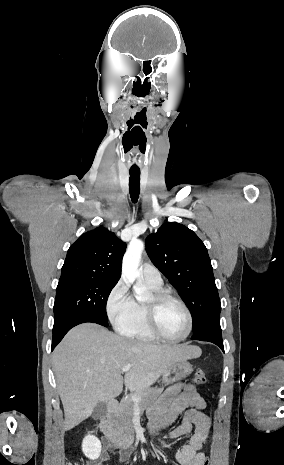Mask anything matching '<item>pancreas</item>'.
I'll return each mask as SVG.
<instances>
[{
	"label": "pancreas",
	"instance_id": "cf45deb5",
	"mask_svg": "<svg viewBox=\"0 0 284 465\" xmlns=\"http://www.w3.org/2000/svg\"><path fill=\"white\" fill-rule=\"evenodd\" d=\"M163 393L162 389H157V387H149V389H139V391H134L128 397L121 399L116 413H112L108 417L114 433H117L118 439L120 441H125V443H131L134 439V429L132 419L134 417V403L132 397H138L141 399L139 403L140 413L146 411L147 407H150L152 403H155L157 397Z\"/></svg>",
	"mask_w": 284,
	"mask_h": 465
}]
</instances>
